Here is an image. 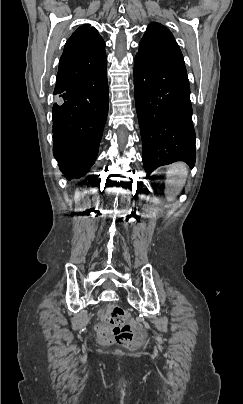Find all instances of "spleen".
<instances>
[{"label": "spleen", "instance_id": "3e777b00", "mask_svg": "<svg viewBox=\"0 0 243 404\" xmlns=\"http://www.w3.org/2000/svg\"><path fill=\"white\" fill-rule=\"evenodd\" d=\"M167 174L169 178V180H167V184H171L174 178H186L188 174L187 166L186 164H183V162H176V164H172V166H170ZM182 182H185V180H182Z\"/></svg>", "mask_w": 243, "mask_h": 404}]
</instances>
